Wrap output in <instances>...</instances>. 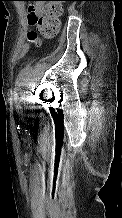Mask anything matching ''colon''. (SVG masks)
<instances>
[{
    "instance_id": "1",
    "label": "colon",
    "mask_w": 122,
    "mask_h": 218,
    "mask_svg": "<svg viewBox=\"0 0 122 218\" xmlns=\"http://www.w3.org/2000/svg\"><path fill=\"white\" fill-rule=\"evenodd\" d=\"M32 3L29 7L28 24L37 26L36 31L28 33L31 42L41 39H51L55 37L60 27V16L62 13V0H26ZM34 3H43V12L37 14L32 10Z\"/></svg>"
}]
</instances>
